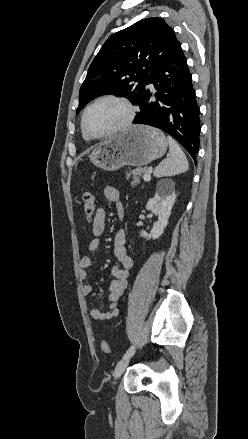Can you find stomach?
I'll return each mask as SVG.
<instances>
[{"label": "stomach", "mask_w": 248, "mask_h": 439, "mask_svg": "<svg viewBox=\"0 0 248 439\" xmlns=\"http://www.w3.org/2000/svg\"><path fill=\"white\" fill-rule=\"evenodd\" d=\"M168 147L163 132L146 125H134L127 131L99 143L90 153L98 168L115 171L125 165L141 167L162 157Z\"/></svg>", "instance_id": "obj_1"}]
</instances>
